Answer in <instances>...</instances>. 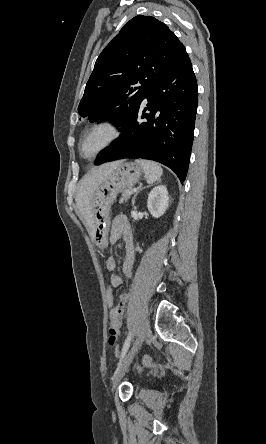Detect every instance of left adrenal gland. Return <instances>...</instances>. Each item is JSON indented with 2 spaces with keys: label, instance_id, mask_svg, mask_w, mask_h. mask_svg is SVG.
<instances>
[{
  "label": "left adrenal gland",
  "instance_id": "a2214340",
  "mask_svg": "<svg viewBox=\"0 0 266 444\" xmlns=\"http://www.w3.org/2000/svg\"><path fill=\"white\" fill-rule=\"evenodd\" d=\"M142 189H144V188H142ZM142 189H141V190H142ZM137 194H138V192L134 195V197H133V199H132V205H133V206H134V204H135V198H136Z\"/></svg>",
  "mask_w": 266,
  "mask_h": 444
}]
</instances>
